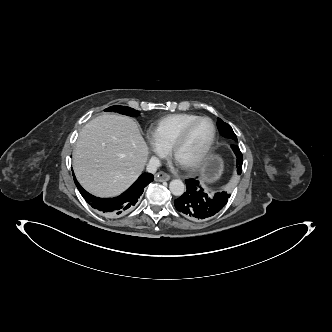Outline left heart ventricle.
<instances>
[{
  "mask_svg": "<svg viewBox=\"0 0 332 332\" xmlns=\"http://www.w3.org/2000/svg\"><path fill=\"white\" fill-rule=\"evenodd\" d=\"M212 135L208 121H200L190 130L186 140L178 149L175 159L182 166L192 163L206 148Z\"/></svg>",
  "mask_w": 332,
  "mask_h": 332,
  "instance_id": "1",
  "label": "left heart ventricle"
}]
</instances>
